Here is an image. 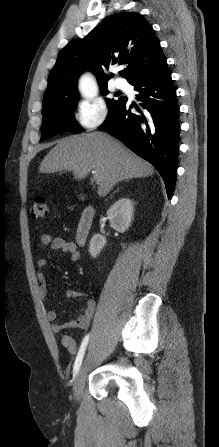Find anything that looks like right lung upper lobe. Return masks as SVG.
I'll return each instance as SVG.
<instances>
[{
	"label": "right lung upper lobe",
	"mask_w": 219,
	"mask_h": 447,
	"mask_svg": "<svg viewBox=\"0 0 219 447\" xmlns=\"http://www.w3.org/2000/svg\"><path fill=\"white\" fill-rule=\"evenodd\" d=\"M166 57L152 26L134 12H121L94 28L86 37L71 40L58 54L52 68L44 98L77 95L80 74L90 70L99 86L107 85L104 72L116 63L128 64L124 74L132 85L155 73Z\"/></svg>",
	"instance_id": "obj_1"
}]
</instances>
